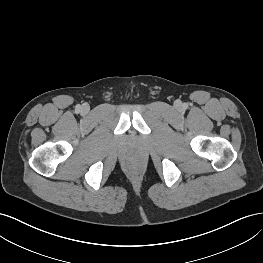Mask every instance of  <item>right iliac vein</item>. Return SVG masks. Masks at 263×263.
Segmentation results:
<instances>
[{
    "instance_id": "1",
    "label": "right iliac vein",
    "mask_w": 263,
    "mask_h": 263,
    "mask_svg": "<svg viewBox=\"0 0 263 263\" xmlns=\"http://www.w3.org/2000/svg\"><path fill=\"white\" fill-rule=\"evenodd\" d=\"M80 109H81V112H82L83 115H86V114H88V112H89V106H88L87 104H83V105L80 107Z\"/></svg>"
}]
</instances>
